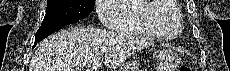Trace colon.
<instances>
[{"instance_id": "5ec220e1", "label": "colon", "mask_w": 230, "mask_h": 71, "mask_svg": "<svg viewBox=\"0 0 230 71\" xmlns=\"http://www.w3.org/2000/svg\"><path fill=\"white\" fill-rule=\"evenodd\" d=\"M190 67L189 66H186V65H182L180 68H179V71H190Z\"/></svg>"}]
</instances>
